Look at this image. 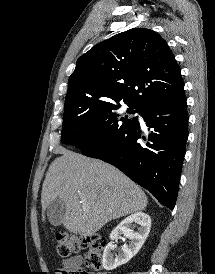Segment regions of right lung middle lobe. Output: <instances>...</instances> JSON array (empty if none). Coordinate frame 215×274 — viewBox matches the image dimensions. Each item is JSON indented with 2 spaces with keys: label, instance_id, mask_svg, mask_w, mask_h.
Listing matches in <instances>:
<instances>
[{
  "label": "right lung middle lobe",
  "instance_id": "1",
  "mask_svg": "<svg viewBox=\"0 0 215 274\" xmlns=\"http://www.w3.org/2000/svg\"><path fill=\"white\" fill-rule=\"evenodd\" d=\"M125 103L129 107L128 113L139 111L133 104ZM119 108V101L65 103L61 142L83 152L105 143L137 119H129Z\"/></svg>",
  "mask_w": 215,
  "mask_h": 274
}]
</instances>
